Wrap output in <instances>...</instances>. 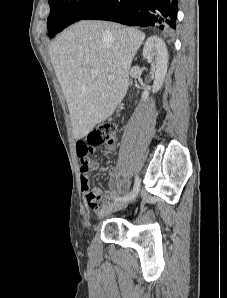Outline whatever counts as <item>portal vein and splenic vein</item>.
<instances>
[{
	"label": "portal vein and splenic vein",
	"instance_id": "18ae733b",
	"mask_svg": "<svg viewBox=\"0 0 227 298\" xmlns=\"http://www.w3.org/2000/svg\"><path fill=\"white\" fill-rule=\"evenodd\" d=\"M91 74L92 76H98L100 74V72L98 70H91ZM109 79H112V76H108Z\"/></svg>",
	"mask_w": 227,
	"mask_h": 298
}]
</instances>
